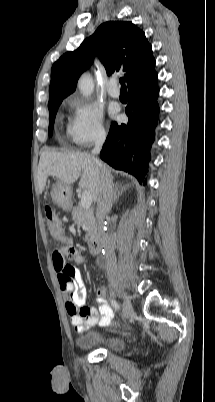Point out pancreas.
<instances>
[{
  "label": "pancreas",
  "instance_id": "pancreas-1",
  "mask_svg": "<svg viewBox=\"0 0 215 402\" xmlns=\"http://www.w3.org/2000/svg\"><path fill=\"white\" fill-rule=\"evenodd\" d=\"M72 219L87 232L85 241H92L97 235V224L93 209H85L79 204L73 207Z\"/></svg>",
  "mask_w": 215,
  "mask_h": 402
}]
</instances>
